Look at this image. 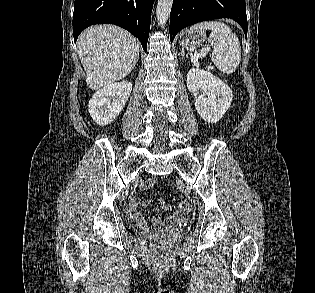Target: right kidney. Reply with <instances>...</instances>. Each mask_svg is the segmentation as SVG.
<instances>
[{
    "mask_svg": "<svg viewBox=\"0 0 315 293\" xmlns=\"http://www.w3.org/2000/svg\"><path fill=\"white\" fill-rule=\"evenodd\" d=\"M131 91L132 84L127 81L109 84L98 90L88 105L93 121L100 126L113 122L124 108Z\"/></svg>",
    "mask_w": 315,
    "mask_h": 293,
    "instance_id": "obj_1",
    "label": "right kidney"
}]
</instances>
